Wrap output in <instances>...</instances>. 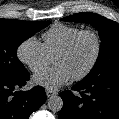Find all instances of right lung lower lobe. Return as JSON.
<instances>
[{
    "label": "right lung lower lobe",
    "mask_w": 119,
    "mask_h": 119,
    "mask_svg": "<svg viewBox=\"0 0 119 119\" xmlns=\"http://www.w3.org/2000/svg\"><path fill=\"white\" fill-rule=\"evenodd\" d=\"M29 78L27 70L18 76L0 78V119H28L46 101V93L41 86L29 91H15Z\"/></svg>",
    "instance_id": "right-lung-lower-lobe-1"
}]
</instances>
